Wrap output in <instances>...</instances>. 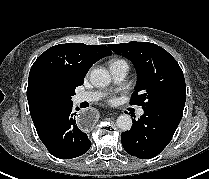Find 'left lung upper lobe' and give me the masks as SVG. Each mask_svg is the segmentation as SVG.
<instances>
[{
  "mask_svg": "<svg viewBox=\"0 0 209 179\" xmlns=\"http://www.w3.org/2000/svg\"><path fill=\"white\" fill-rule=\"evenodd\" d=\"M129 59L137 70V84L130 104L143 109L181 107L186 100L183 72L176 60L160 46L149 42L108 45Z\"/></svg>",
  "mask_w": 209,
  "mask_h": 179,
  "instance_id": "left-lung-upper-lobe-1",
  "label": "left lung upper lobe"
}]
</instances>
